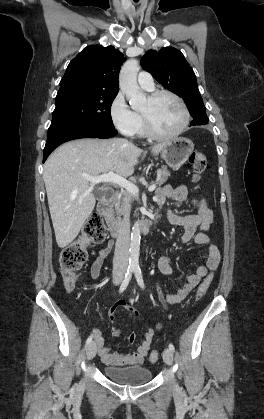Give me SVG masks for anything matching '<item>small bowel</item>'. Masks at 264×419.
Instances as JSON below:
<instances>
[{"label": "small bowel", "mask_w": 264, "mask_h": 419, "mask_svg": "<svg viewBox=\"0 0 264 419\" xmlns=\"http://www.w3.org/2000/svg\"><path fill=\"white\" fill-rule=\"evenodd\" d=\"M189 193L190 190L187 185H180L176 188L166 185L158 190L156 202L160 206H163L167 199H172L175 202H183L188 198ZM167 220L170 224L183 228L184 232L181 238L183 243L194 240L196 244L207 245L208 248L205 257V265L199 266L193 273L187 274L185 283L180 285L176 292L164 294L162 288L158 285V298L164 306L178 304L183 301L200 283L203 277L217 268L220 261L219 250L207 235V231L210 229L213 222V213L206 204L199 208L196 214L178 215L172 211H168ZM112 246L113 243L109 242L100 250L91 266L90 272L92 278L97 279L100 276L104 260L109 255ZM158 267L164 275L173 274V268L170 259L167 256H163L159 259ZM121 307H127V303L120 301L111 307L108 314L111 322H114L116 312ZM160 328L161 324L156 325L155 328H147L143 333L141 341L137 344L136 353L134 354H119L113 352L106 345L101 330L97 328L92 331L91 336L92 339H94L98 355L104 364L114 367L141 365L149 353L155 333ZM111 334L114 337H123L129 344H133L136 341L135 333L127 335L115 327L111 328Z\"/></svg>", "instance_id": "1"}]
</instances>
